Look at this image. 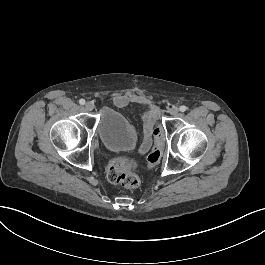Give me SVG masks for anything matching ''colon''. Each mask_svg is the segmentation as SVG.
I'll return each mask as SVG.
<instances>
[{"label":"colon","instance_id":"5ec220e1","mask_svg":"<svg viewBox=\"0 0 265 265\" xmlns=\"http://www.w3.org/2000/svg\"><path fill=\"white\" fill-rule=\"evenodd\" d=\"M155 141L154 147L151 149L146 158L148 167H155L159 164L163 154V140L161 137V127L154 128ZM139 160L134 156L120 155L115 157L106 170L107 179L119 184L125 188L134 189L141 185V180L136 174Z\"/></svg>","mask_w":265,"mask_h":265}]
</instances>
